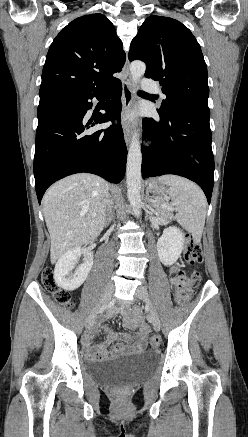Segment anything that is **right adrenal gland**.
I'll use <instances>...</instances> for the list:
<instances>
[{
  "label": "right adrenal gland",
  "instance_id": "obj_1",
  "mask_svg": "<svg viewBox=\"0 0 248 437\" xmlns=\"http://www.w3.org/2000/svg\"><path fill=\"white\" fill-rule=\"evenodd\" d=\"M110 220H111V218L108 217L107 220H106V223H105L106 226L108 225V223L110 222Z\"/></svg>",
  "mask_w": 248,
  "mask_h": 437
}]
</instances>
